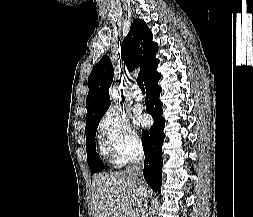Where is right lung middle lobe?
I'll return each instance as SVG.
<instances>
[{
  "label": "right lung middle lobe",
  "instance_id": "1",
  "mask_svg": "<svg viewBox=\"0 0 253 217\" xmlns=\"http://www.w3.org/2000/svg\"><path fill=\"white\" fill-rule=\"evenodd\" d=\"M103 115L86 122V150H87V162L90 170L94 172H100L104 169L100 157L96 153L95 136L96 129Z\"/></svg>",
  "mask_w": 253,
  "mask_h": 217
}]
</instances>
